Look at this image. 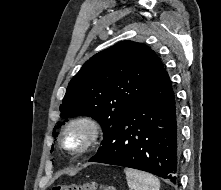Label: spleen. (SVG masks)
I'll return each instance as SVG.
<instances>
[{
    "mask_svg": "<svg viewBox=\"0 0 221 190\" xmlns=\"http://www.w3.org/2000/svg\"><path fill=\"white\" fill-rule=\"evenodd\" d=\"M130 190H159L160 181L155 176L132 168H125Z\"/></svg>",
    "mask_w": 221,
    "mask_h": 190,
    "instance_id": "obj_1",
    "label": "spleen"
}]
</instances>
